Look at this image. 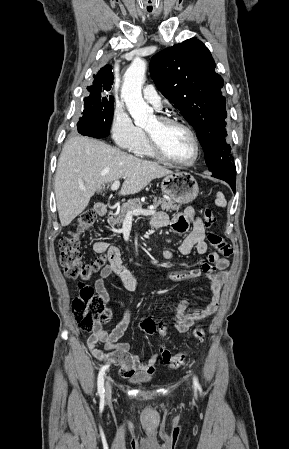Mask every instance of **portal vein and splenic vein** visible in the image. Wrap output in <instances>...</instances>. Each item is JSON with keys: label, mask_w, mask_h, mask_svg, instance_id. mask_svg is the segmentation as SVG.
Instances as JSON below:
<instances>
[{"label": "portal vein and splenic vein", "mask_w": 289, "mask_h": 449, "mask_svg": "<svg viewBox=\"0 0 289 449\" xmlns=\"http://www.w3.org/2000/svg\"><path fill=\"white\" fill-rule=\"evenodd\" d=\"M120 186L119 180L114 181V183L111 185V190H117ZM82 190H85L84 187H82ZM156 212V210L153 207H150L149 209H142L138 208L133 211L127 212V218H132L133 215H153Z\"/></svg>", "instance_id": "portal-vein-and-splenic-vein-1"}]
</instances>
